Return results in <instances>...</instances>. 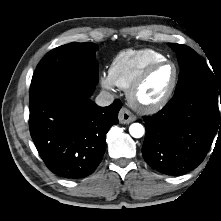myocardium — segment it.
<instances>
[{
	"label": "myocardium",
	"instance_id": "f54148a6",
	"mask_svg": "<svg viewBox=\"0 0 221 221\" xmlns=\"http://www.w3.org/2000/svg\"><path fill=\"white\" fill-rule=\"evenodd\" d=\"M163 65H170L173 68V78L165 93L155 102L152 103H142L138 99V91L147 80L149 75L155 70L156 68L163 66ZM179 71L177 65L169 60L163 59L159 61H154L148 64L140 74L135 78V80L131 83L129 88L127 89V98L129 103L134 107L136 110L143 112V113H154L161 110L166 104L170 101L177 83H178Z\"/></svg>",
	"mask_w": 221,
	"mask_h": 221
}]
</instances>
